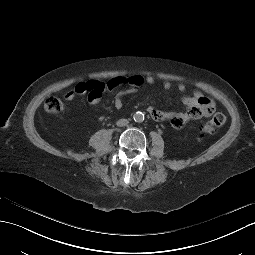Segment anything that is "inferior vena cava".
Here are the masks:
<instances>
[{
  "label": "inferior vena cava",
  "instance_id": "obj_1",
  "mask_svg": "<svg viewBox=\"0 0 255 255\" xmlns=\"http://www.w3.org/2000/svg\"><path fill=\"white\" fill-rule=\"evenodd\" d=\"M128 120L127 119H119L117 122H116V125L118 127H123V126H126L128 124Z\"/></svg>",
  "mask_w": 255,
  "mask_h": 255
}]
</instances>
